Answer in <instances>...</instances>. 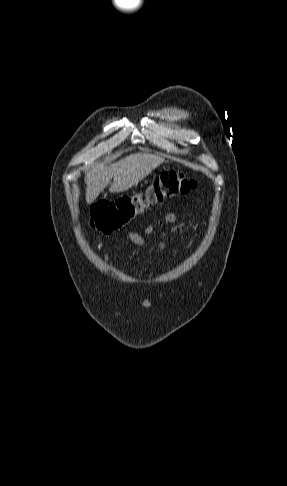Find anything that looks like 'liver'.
I'll return each instance as SVG.
<instances>
[{"mask_svg":"<svg viewBox=\"0 0 287 486\" xmlns=\"http://www.w3.org/2000/svg\"><path fill=\"white\" fill-rule=\"evenodd\" d=\"M164 161L156 155L132 154L109 166L90 168L85 177L86 202H94L112 178L110 192H123L137 185Z\"/></svg>","mask_w":287,"mask_h":486,"instance_id":"6515ba94","label":"liver"}]
</instances>
